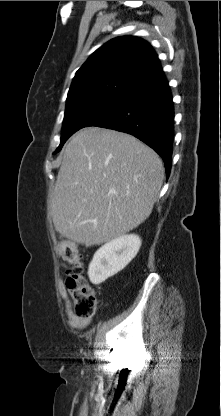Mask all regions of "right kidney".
<instances>
[{"label":"right kidney","mask_w":221,"mask_h":416,"mask_svg":"<svg viewBox=\"0 0 221 416\" xmlns=\"http://www.w3.org/2000/svg\"><path fill=\"white\" fill-rule=\"evenodd\" d=\"M141 239L134 234L120 236L100 247L89 265L88 276L97 285L124 269L137 255Z\"/></svg>","instance_id":"1"}]
</instances>
